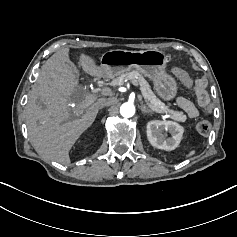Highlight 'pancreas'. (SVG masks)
<instances>
[{
	"label": "pancreas",
	"mask_w": 237,
	"mask_h": 237,
	"mask_svg": "<svg viewBox=\"0 0 237 237\" xmlns=\"http://www.w3.org/2000/svg\"><path fill=\"white\" fill-rule=\"evenodd\" d=\"M120 79H123V80H126V79L130 80L131 79V81L134 79L137 82L136 84L140 86V90H141L143 96H146V100L153 103L159 109H169L159 98L156 97V95L151 90L149 83L138 71L134 70V71H131V72H128L125 74H121L119 77L113 79L111 84L118 85ZM152 111H154V110H152ZM161 113L170 114V117L176 121H185L186 120V116L182 112H179V111H177V114H172L169 112H161Z\"/></svg>",
	"instance_id": "1"
}]
</instances>
